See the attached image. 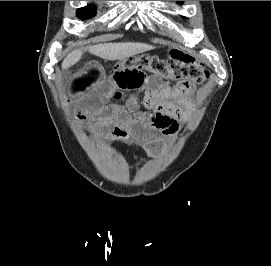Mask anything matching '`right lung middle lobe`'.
Returning a JSON list of instances; mask_svg holds the SVG:
<instances>
[{"mask_svg": "<svg viewBox=\"0 0 271 266\" xmlns=\"http://www.w3.org/2000/svg\"><path fill=\"white\" fill-rule=\"evenodd\" d=\"M96 11L94 6H86L77 10V15L81 19H87L95 16Z\"/></svg>", "mask_w": 271, "mask_h": 266, "instance_id": "obj_1", "label": "right lung middle lobe"}]
</instances>
